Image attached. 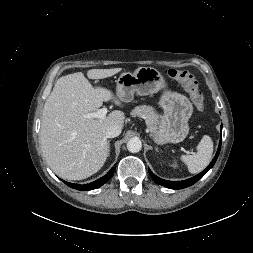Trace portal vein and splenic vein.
<instances>
[{"mask_svg":"<svg viewBox=\"0 0 253 253\" xmlns=\"http://www.w3.org/2000/svg\"><path fill=\"white\" fill-rule=\"evenodd\" d=\"M106 114H107V108H101V109H98L96 112L84 114L83 117L97 118V119L104 120L106 118ZM185 152L188 153V151H185Z\"/></svg>","mask_w":253,"mask_h":253,"instance_id":"1","label":"portal vein and splenic vein"}]
</instances>
